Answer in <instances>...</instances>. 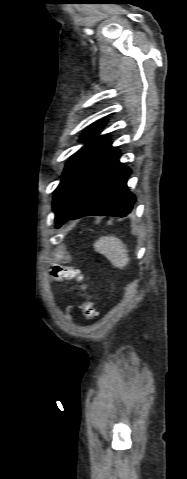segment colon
<instances>
[{
    "mask_svg": "<svg viewBox=\"0 0 187 479\" xmlns=\"http://www.w3.org/2000/svg\"><path fill=\"white\" fill-rule=\"evenodd\" d=\"M50 273L53 278H69L74 276L76 272L69 267L54 265L51 267ZM79 288L84 292L85 287L83 285ZM82 312L86 320H93L97 315L95 305L90 300H85L82 303Z\"/></svg>",
    "mask_w": 187,
    "mask_h": 479,
    "instance_id": "5ec220e1",
    "label": "colon"
}]
</instances>
